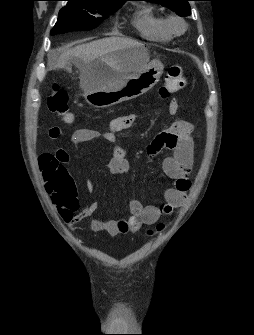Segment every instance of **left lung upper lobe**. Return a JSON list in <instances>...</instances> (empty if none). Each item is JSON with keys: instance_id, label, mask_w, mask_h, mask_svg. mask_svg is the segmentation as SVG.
Masks as SVG:
<instances>
[{"instance_id": "1", "label": "left lung upper lobe", "mask_w": 254, "mask_h": 335, "mask_svg": "<svg viewBox=\"0 0 254 335\" xmlns=\"http://www.w3.org/2000/svg\"><path fill=\"white\" fill-rule=\"evenodd\" d=\"M154 3H160L173 11H175L179 16H189L191 14L190 5L188 1L190 0H144Z\"/></svg>"}]
</instances>
